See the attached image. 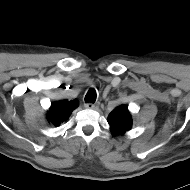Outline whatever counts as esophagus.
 I'll list each match as a JSON object with an SVG mask.
<instances>
[{"label":"esophagus","instance_id":"34e87169","mask_svg":"<svg viewBox=\"0 0 190 190\" xmlns=\"http://www.w3.org/2000/svg\"><path fill=\"white\" fill-rule=\"evenodd\" d=\"M85 107H86L87 109H93V110L98 109V105H97V104H94V103H86V104H85Z\"/></svg>","mask_w":190,"mask_h":190}]
</instances>
